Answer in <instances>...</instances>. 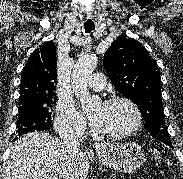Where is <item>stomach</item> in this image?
<instances>
[{
  "mask_svg": "<svg viewBox=\"0 0 183 179\" xmlns=\"http://www.w3.org/2000/svg\"><path fill=\"white\" fill-rule=\"evenodd\" d=\"M96 152L103 166L118 172H136L146 162L145 151L136 143H104Z\"/></svg>",
  "mask_w": 183,
  "mask_h": 179,
  "instance_id": "stomach-1",
  "label": "stomach"
}]
</instances>
